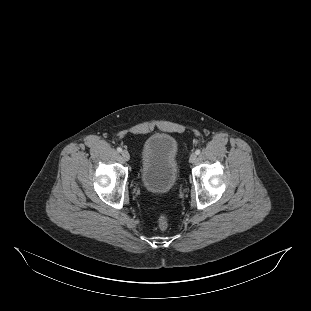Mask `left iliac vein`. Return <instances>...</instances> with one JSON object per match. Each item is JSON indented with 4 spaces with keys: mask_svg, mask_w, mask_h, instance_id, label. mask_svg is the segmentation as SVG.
<instances>
[{
    "mask_svg": "<svg viewBox=\"0 0 311 311\" xmlns=\"http://www.w3.org/2000/svg\"><path fill=\"white\" fill-rule=\"evenodd\" d=\"M196 159H197V154L196 153H192L190 155L189 161H190V163H194L196 161Z\"/></svg>",
    "mask_w": 311,
    "mask_h": 311,
    "instance_id": "1",
    "label": "left iliac vein"
}]
</instances>
